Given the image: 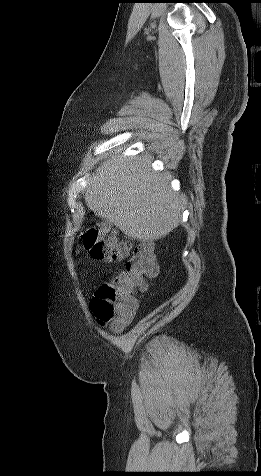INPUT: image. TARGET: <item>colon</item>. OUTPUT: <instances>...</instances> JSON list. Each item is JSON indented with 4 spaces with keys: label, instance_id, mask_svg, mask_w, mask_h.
<instances>
[{
    "label": "colon",
    "instance_id": "1",
    "mask_svg": "<svg viewBox=\"0 0 261 476\" xmlns=\"http://www.w3.org/2000/svg\"><path fill=\"white\" fill-rule=\"evenodd\" d=\"M83 243L95 259L115 262L125 260L123 268L103 283L91 302V309L101 325L120 330L136 313V294L147 288L148 280L158 274L152 242L130 247L105 224L89 228Z\"/></svg>",
    "mask_w": 261,
    "mask_h": 476
}]
</instances>
